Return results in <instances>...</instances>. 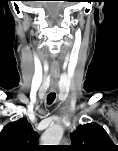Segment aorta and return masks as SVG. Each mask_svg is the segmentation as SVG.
<instances>
[{"mask_svg":"<svg viewBox=\"0 0 118 151\" xmlns=\"http://www.w3.org/2000/svg\"><path fill=\"white\" fill-rule=\"evenodd\" d=\"M64 130L60 125H51L45 130L41 137V142L43 145H59Z\"/></svg>","mask_w":118,"mask_h":151,"instance_id":"762f6f07","label":"aorta"}]
</instances>
